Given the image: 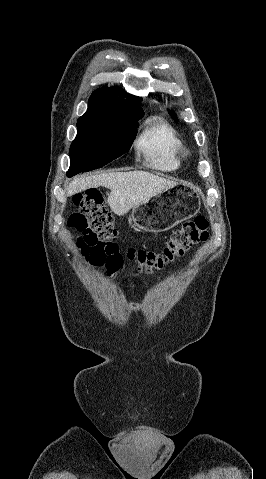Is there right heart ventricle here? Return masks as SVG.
I'll return each mask as SVG.
<instances>
[{
	"label": "right heart ventricle",
	"mask_w": 266,
	"mask_h": 479,
	"mask_svg": "<svg viewBox=\"0 0 266 479\" xmlns=\"http://www.w3.org/2000/svg\"><path fill=\"white\" fill-rule=\"evenodd\" d=\"M136 146L146 162L156 170L171 172L181 165L182 141L166 123L148 126L140 135Z\"/></svg>",
	"instance_id": "right-heart-ventricle-1"
}]
</instances>
